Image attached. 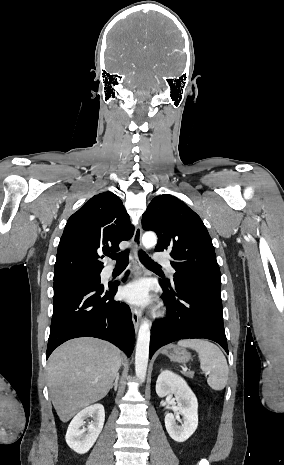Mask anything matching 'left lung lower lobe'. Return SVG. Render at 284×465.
Wrapping results in <instances>:
<instances>
[{
  "label": "left lung lower lobe",
  "instance_id": "left-lung-lower-lobe-1",
  "mask_svg": "<svg viewBox=\"0 0 284 465\" xmlns=\"http://www.w3.org/2000/svg\"><path fill=\"white\" fill-rule=\"evenodd\" d=\"M168 317L152 325L150 358L160 347L180 339L205 338L228 353L220 287L191 279L160 280Z\"/></svg>",
  "mask_w": 284,
  "mask_h": 465
}]
</instances>
